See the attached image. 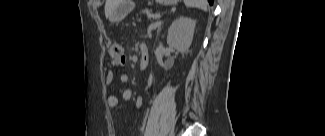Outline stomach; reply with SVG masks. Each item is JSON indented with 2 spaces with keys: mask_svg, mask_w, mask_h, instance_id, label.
<instances>
[{
  "mask_svg": "<svg viewBox=\"0 0 325 136\" xmlns=\"http://www.w3.org/2000/svg\"><path fill=\"white\" fill-rule=\"evenodd\" d=\"M159 4L172 5L177 2V0H156ZM132 9V2L129 0H120L117 7L111 15V22H119L126 17V15Z\"/></svg>",
  "mask_w": 325,
  "mask_h": 136,
  "instance_id": "obj_1",
  "label": "stomach"
}]
</instances>
